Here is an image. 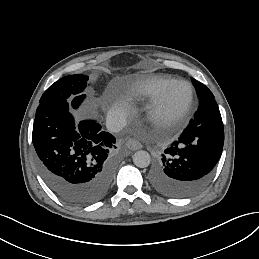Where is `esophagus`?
<instances>
[{
  "instance_id": "obj_1",
  "label": "esophagus",
  "mask_w": 259,
  "mask_h": 259,
  "mask_svg": "<svg viewBox=\"0 0 259 259\" xmlns=\"http://www.w3.org/2000/svg\"><path fill=\"white\" fill-rule=\"evenodd\" d=\"M126 146L130 150H139L143 147L142 144L134 138H129L126 142Z\"/></svg>"
}]
</instances>
